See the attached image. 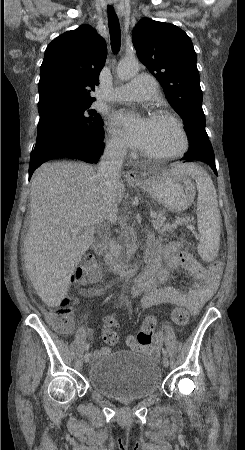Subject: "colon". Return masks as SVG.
<instances>
[{
  "label": "colon",
  "instance_id": "colon-1",
  "mask_svg": "<svg viewBox=\"0 0 245 450\" xmlns=\"http://www.w3.org/2000/svg\"><path fill=\"white\" fill-rule=\"evenodd\" d=\"M212 270H218L219 262H214L211 266ZM101 273V268L96 263L91 255H87L81 265L77 268L73 275L74 282H80L86 279L88 282H96ZM47 320L59 331L68 332L72 328L71 311L69 307V299L64 297L61 299L56 308L46 309ZM171 316L175 323L179 325H186L189 321V311L181 305L175 306L171 310ZM117 324V318L114 315H107L105 317V329L102 334L103 341L108 345H114L118 342L119 336L113 330ZM156 323L153 318H147L140 331L137 334V342L140 344H149L154 335Z\"/></svg>",
  "mask_w": 245,
  "mask_h": 450
}]
</instances>
